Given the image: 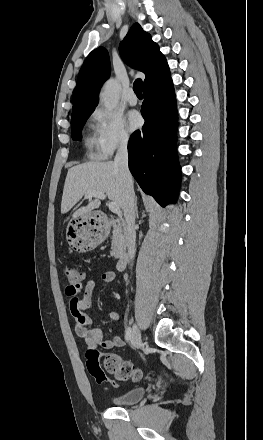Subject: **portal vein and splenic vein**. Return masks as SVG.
I'll use <instances>...</instances> for the list:
<instances>
[{
  "label": "portal vein and splenic vein",
  "instance_id": "obj_1",
  "mask_svg": "<svg viewBox=\"0 0 263 440\" xmlns=\"http://www.w3.org/2000/svg\"><path fill=\"white\" fill-rule=\"evenodd\" d=\"M92 197H95V198H98L101 200H104L106 198L105 194L103 192H99V191H90V192L85 193V198H92ZM108 207H109L110 211L115 214L121 213L120 207L116 202H109Z\"/></svg>",
  "mask_w": 263,
  "mask_h": 440
}]
</instances>
